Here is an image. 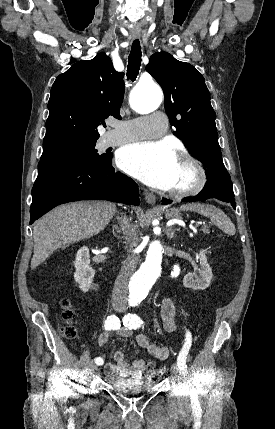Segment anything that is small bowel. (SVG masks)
<instances>
[{"mask_svg": "<svg viewBox=\"0 0 275 429\" xmlns=\"http://www.w3.org/2000/svg\"><path fill=\"white\" fill-rule=\"evenodd\" d=\"M175 315L176 309L173 301L170 298H165L161 305V316L164 322V328L168 332H172L176 329L177 322ZM115 332L122 337H130L133 334L132 330L126 327H120ZM110 336V332H103L98 340L99 346H104L109 341ZM136 340L137 344L151 358L165 360L169 355L167 347L151 342L145 335H138ZM114 360V363H108L105 365V372L110 378H116V376L137 378L149 363L147 360L140 359L129 364L121 351L115 352Z\"/></svg>", "mask_w": 275, "mask_h": 429, "instance_id": "c3829d8e", "label": "small bowel"}]
</instances>
